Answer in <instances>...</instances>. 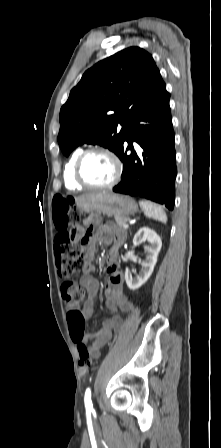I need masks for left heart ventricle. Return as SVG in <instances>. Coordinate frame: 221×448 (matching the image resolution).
I'll use <instances>...</instances> for the list:
<instances>
[{
  "instance_id": "b2bd125f",
  "label": "left heart ventricle",
  "mask_w": 221,
  "mask_h": 448,
  "mask_svg": "<svg viewBox=\"0 0 221 448\" xmlns=\"http://www.w3.org/2000/svg\"><path fill=\"white\" fill-rule=\"evenodd\" d=\"M82 174L91 184L104 185L114 176L112 160L101 153L90 155L83 163Z\"/></svg>"
}]
</instances>
